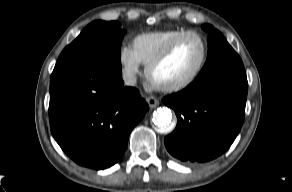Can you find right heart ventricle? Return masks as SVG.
Masks as SVG:
<instances>
[{
    "label": "right heart ventricle",
    "instance_id": "e07e8e85",
    "mask_svg": "<svg viewBox=\"0 0 292 192\" xmlns=\"http://www.w3.org/2000/svg\"><path fill=\"white\" fill-rule=\"evenodd\" d=\"M184 29H166L141 33L133 39V49L142 64L147 65Z\"/></svg>",
    "mask_w": 292,
    "mask_h": 192
}]
</instances>
